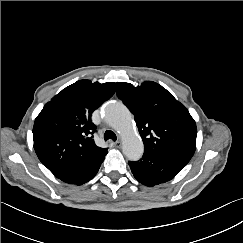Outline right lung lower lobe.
<instances>
[{
    "mask_svg": "<svg viewBox=\"0 0 243 243\" xmlns=\"http://www.w3.org/2000/svg\"><path fill=\"white\" fill-rule=\"evenodd\" d=\"M104 157L105 156H102L93 161L76 164L54 172L53 174L66 183L81 185L88 182L96 175Z\"/></svg>",
    "mask_w": 243,
    "mask_h": 243,
    "instance_id": "obj_1",
    "label": "right lung lower lobe"
}]
</instances>
